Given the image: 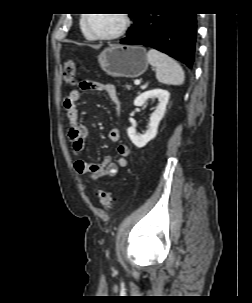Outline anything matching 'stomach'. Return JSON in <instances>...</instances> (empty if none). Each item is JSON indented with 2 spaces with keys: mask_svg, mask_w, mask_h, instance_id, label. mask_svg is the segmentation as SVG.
<instances>
[{
  "mask_svg": "<svg viewBox=\"0 0 252 303\" xmlns=\"http://www.w3.org/2000/svg\"><path fill=\"white\" fill-rule=\"evenodd\" d=\"M102 70L112 77L136 78L148 68L146 50L141 46L115 45L98 56Z\"/></svg>",
  "mask_w": 252,
  "mask_h": 303,
  "instance_id": "0dacf381",
  "label": "stomach"
}]
</instances>
